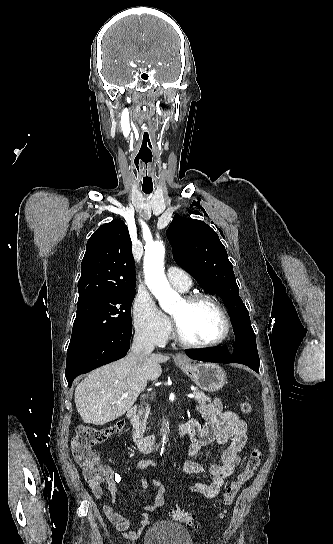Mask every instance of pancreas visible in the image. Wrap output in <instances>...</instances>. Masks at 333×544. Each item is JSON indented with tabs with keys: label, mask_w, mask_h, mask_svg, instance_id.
I'll return each instance as SVG.
<instances>
[{
	"label": "pancreas",
	"mask_w": 333,
	"mask_h": 544,
	"mask_svg": "<svg viewBox=\"0 0 333 544\" xmlns=\"http://www.w3.org/2000/svg\"><path fill=\"white\" fill-rule=\"evenodd\" d=\"M193 394L195 395V401L199 404L211 402V398L206 396L203 392L199 391L197 388L193 390ZM149 414H150L149 405L143 404L141 409L139 410V416L141 417L139 426L142 430L146 429V422H147Z\"/></svg>",
	"instance_id": "obj_1"
}]
</instances>
